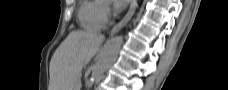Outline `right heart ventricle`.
I'll list each match as a JSON object with an SVG mask.
<instances>
[{
  "instance_id": "obj_1",
  "label": "right heart ventricle",
  "mask_w": 228,
  "mask_h": 90,
  "mask_svg": "<svg viewBox=\"0 0 228 90\" xmlns=\"http://www.w3.org/2000/svg\"><path fill=\"white\" fill-rule=\"evenodd\" d=\"M99 1H84L79 9V21L81 25L90 30H98L103 23L98 17Z\"/></svg>"
}]
</instances>
